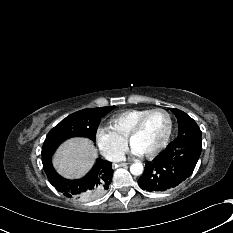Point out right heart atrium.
<instances>
[{"instance_id": "obj_1", "label": "right heart atrium", "mask_w": 233, "mask_h": 233, "mask_svg": "<svg viewBox=\"0 0 233 233\" xmlns=\"http://www.w3.org/2000/svg\"><path fill=\"white\" fill-rule=\"evenodd\" d=\"M96 143L101 154L112 162L119 161L126 149V142L106 129H100L97 132Z\"/></svg>"}]
</instances>
